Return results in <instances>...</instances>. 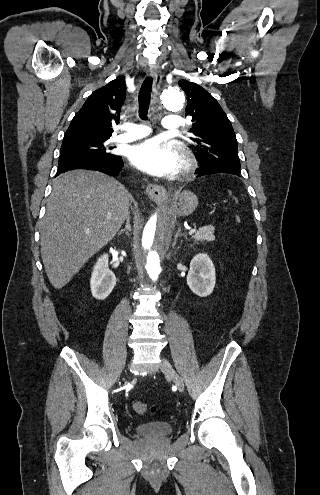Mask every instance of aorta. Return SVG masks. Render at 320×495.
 <instances>
[{
  "label": "aorta",
  "instance_id": "1",
  "mask_svg": "<svg viewBox=\"0 0 320 495\" xmlns=\"http://www.w3.org/2000/svg\"><path fill=\"white\" fill-rule=\"evenodd\" d=\"M162 105L172 111L182 108L184 98L178 89H166L161 94ZM172 216L167 207L155 213L147 221L141 234V252L151 280L156 281L161 273V246L170 241Z\"/></svg>",
  "mask_w": 320,
  "mask_h": 495
}]
</instances>
